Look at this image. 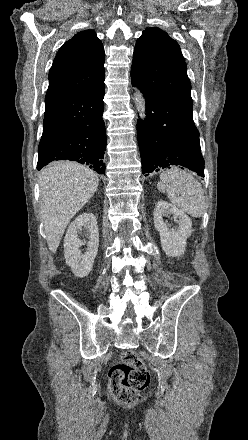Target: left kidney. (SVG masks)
Here are the masks:
<instances>
[{
    "instance_id": "obj_1",
    "label": "left kidney",
    "mask_w": 248,
    "mask_h": 440,
    "mask_svg": "<svg viewBox=\"0 0 248 440\" xmlns=\"http://www.w3.org/2000/svg\"><path fill=\"white\" fill-rule=\"evenodd\" d=\"M173 215L176 228H169L164 217ZM154 225L160 234L161 246L169 257H180L185 253L187 238L192 233V221L182 210L166 201H158L154 209Z\"/></svg>"
}]
</instances>
